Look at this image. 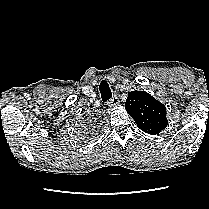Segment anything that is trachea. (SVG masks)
Listing matches in <instances>:
<instances>
[{
    "mask_svg": "<svg viewBox=\"0 0 209 209\" xmlns=\"http://www.w3.org/2000/svg\"><path fill=\"white\" fill-rule=\"evenodd\" d=\"M99 90L103 102H106L112 98L111 89L109 87V84L105 80L101 81L99 85Z\"/></svg>",
    "mask_w": 209,
    "mask_h": 209,
    "instance_id": "trachea-1",
    "label": "trachea"
}]
</instances>
